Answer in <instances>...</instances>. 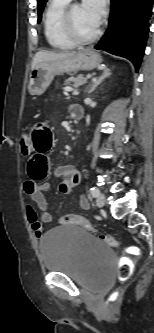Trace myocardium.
<instances>
[{
  "label": "myocardium",
  "instance_id": "obj_1",
  "mask_svg": "<svg viewBox=\"0 0 154 333\" xmlns=\"http://www.w3.org/2000/svg\"><path fill=\"white\" fill-rule=\"evenodd\" d=\"M77 5V4H69L62 15V19H61V25H62V29L65 33V35L76 45H86V44H90L92 42H94L95 40L98 39V37L100 36L101 30L99 28H97V30L95 31L94 34H92L89 37H82L80 36L73 25L72 22V8Z\"/></svg>",
  "mask_w": 154,
  "mask_h": 333
}]
</instances>
